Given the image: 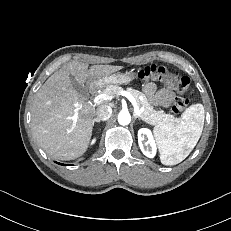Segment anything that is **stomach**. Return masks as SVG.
Wrapping results in <instances>:
<instances>
[{
    "label": "stomach",
    "mask_w": 231,
    "mask_h": 231,
    "mask_svg": "<svg viewBox=\"0 0 231 231\" xmlns=\"http://www.w3.org/2000/svg\"><path fill=\"white\" fill-rule=\"evenodd\" d=\"M133 80V75L131 72H118L102 77H98L92 80V85L96 87H103L107 84H117L124 85L129 84Z\"/></svg>",
    "instance_id": "0dacf381"
}]
</instances>
